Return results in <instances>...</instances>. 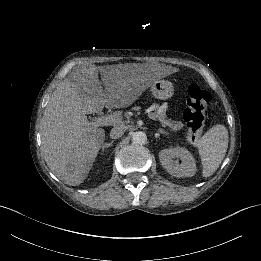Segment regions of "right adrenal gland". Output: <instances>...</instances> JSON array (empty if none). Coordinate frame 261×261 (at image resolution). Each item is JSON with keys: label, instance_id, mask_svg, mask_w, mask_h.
Masks as SVG:
<instances>
[{"label": "right adrenal gland", "instance_id": "right-adrenal-gland-1", "mask_svg": "<svg viewBox=\"0 0 261 261\" xmlns=\"http://www.w3.org/2000/svg\"><path fill=\"white\" fill-rule=\"evenodd\" d=\"M113 143H114L113 140H112L110 143H104V144L102 145V150L104 151L105 148H108V147L112 146Z\"/></svg>", "mask_w": 261, "mask_h": 261}]
</instances>
